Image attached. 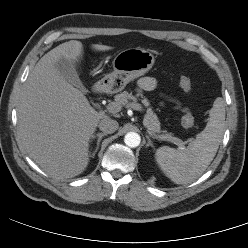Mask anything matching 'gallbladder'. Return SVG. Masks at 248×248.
Masks as SVG:
<instances>
[{"label": "gallbladder", "instance_id": "1", "mask_svg": "<svg viewBox=\"0 0 248 248\" xmlns=\"http://www.w3.org/2000/svg\"><path fill=\"white\" fill-rule=\"evenodd\" d=\"M56 68L60 75L70 84L79 88L82 92H87L86 88L82 84L78 73L73 63L65 58H61L56 62Z\"/></svg>", "mask_w": 248, "mask_h": 248}]
</instances>
